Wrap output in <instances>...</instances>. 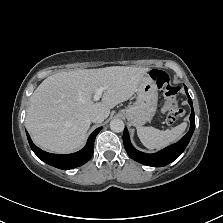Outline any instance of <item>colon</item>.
Returning <instances> with one entry per match:
<instances>
[{"mask_svg":"<svg viewBox=\"0 0 223 223\" xmlns=\"http://www.w3.org/2000/svg\"><path fill=\"white\" fill-rule=\"evenodd\" d=\"M150 76L165 96L168 109L166 123L173 125L183 114V111L176 107L175 102L179 88L172 84L170 76L165 71L154 69Z\"/></svg>","mask_w":223,"mask_h":223,"instance_id":"5ec220e1","label":"colon"}]
</instances>
